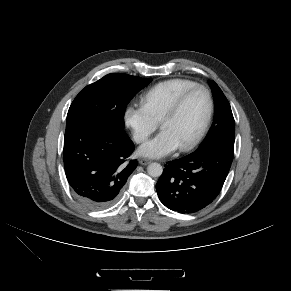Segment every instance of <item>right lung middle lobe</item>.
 <instances>
[{"label":"right lung middle lobe","instance_id":"right-lung-middle-lobe-1","mask_svg":"<svg viewBox=\"0 0 291 291\" xmlns=\"http://www.w3.org/2000/svg\"><path fill=\"white\" fill-rule=\"evenodd\" d=\"M151 82L121 73L104 76L85 87L72 102L66 129L74 126L103 125L124 129V112L132 97Z\"/></svg>","mask_w":291,"mask_h":291}]
</instances>
